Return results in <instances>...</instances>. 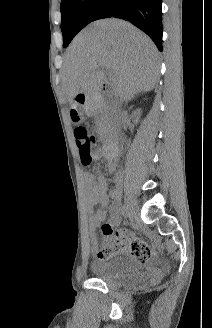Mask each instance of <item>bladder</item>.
Returning a JSON list of instances; mask_svg holds the SVG:
<instances>
[{
  "mask_svg": "<svg viewBox=\"0 0 212 328\" xmlns=\"http://www.w3.org/2000/svg\"><path fill=\"white\" fill-rule=\"evenodd\" d=\"M141 265L125 257L94 260L90 269L93 276L112 286H128L139 283L143 278Z\"/></svg>",
  "mask_w": 212,
  "mask_h": 328,
  "instance_id": "1",
  "label": "bladder"
}]
</instances>
